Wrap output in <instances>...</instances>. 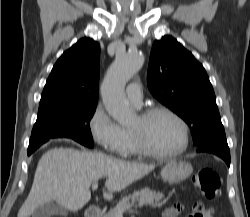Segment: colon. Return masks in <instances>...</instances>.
Listing matches in <instances>:
<instances>
[{"label": "colon", "mask_w": 250, "mask_h": 217, "mask_svg": "<svg viewBox=\"0 0 250 217\" xmlns=\"http://www.w3.org/2000/svg\"><path fill=\"white\" fill-rule=\"evenodd\" d=\"M194 186L208 199H217L220 195V178L209 167H202L193 176ZM209 210L202 202L194 203L189 217H204Z\"/></svg>", "instance_id": "1"}]
</instances>
